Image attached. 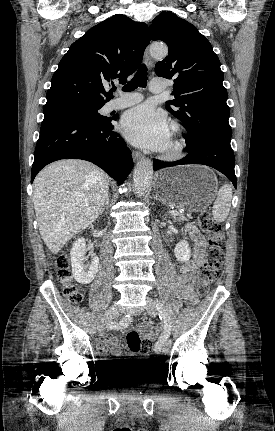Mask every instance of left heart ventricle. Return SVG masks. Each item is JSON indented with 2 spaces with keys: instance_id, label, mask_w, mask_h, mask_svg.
Listing matches in <instances>:
<instances>
[{
  "instance_id": "1",
  "label": "left heart ventricle",
  "mask_w": 275,
  "mask_h": 431,
  "mask_svg": "<svg viewBox=\"0 0 275 431\" xmlns=\"http://www.w3.org/2000/svg\"><path fill=\"white\" fill-rule=\"evenodd\" d=\"M172 140H173V135H172V132L170 130L169 138H168V141H167L165 148H168L172 144Z\"/></svg>"
}]
</instances>
